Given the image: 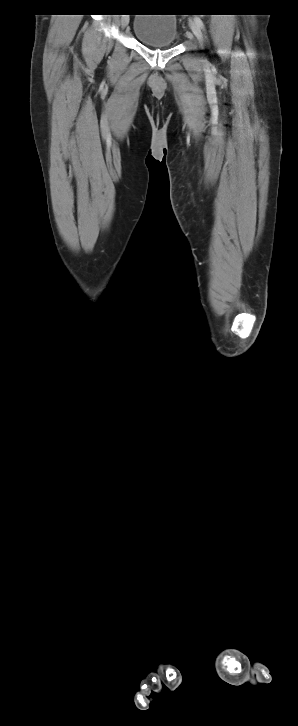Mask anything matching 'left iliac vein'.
Returning a JSON list of instances; mask_svg holds the SVG:
<instances>
[{"mask_svg": "<svg viewBox=\"0 0 298 726\" xmlns=\"http://www.w3.org/2000/svg\"><path fill=\"white\" fill-rule=\"evenodd\" d=\"M190 28L194 36L202 42V32L199 25L195 21H190Z\"/></svg>", "mask_w": 298, "mask_h": 726, "instance_id": "1", "label": "left iliac vein"}]
</instances>
